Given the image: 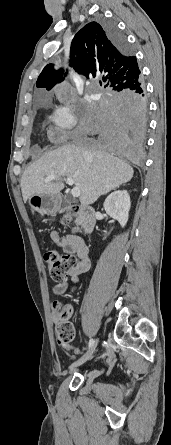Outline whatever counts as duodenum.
I'll return each instance as SVG.
<instances>
[{
  "mask_svg": "<svg viewBox=\"0 0 171 445\" xmlns=\"http://www.w3.org/2000/svg\"><path fill=\"white\" fill-rule=\"evenodd\" d=\"M69 204L64 195L58 197V211L61 214H67L69 212ZM76 218L80 221L82 231L85 235H89L93 232L95 227V212L92 207L82 205L79 207Z\"/></svg>",
  "mask_w": 171,
  "mask_h": 445,
  "instance_id": "obj_1",
  "label": "duodenum"
}]
</instances>
